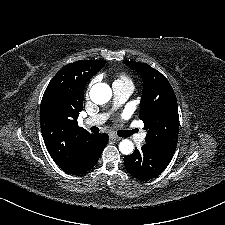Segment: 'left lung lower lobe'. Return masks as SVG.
Instances as JSON below:
<instances>
[{"instance_id": "1", "label": "left lung lower lobe", "mask_w": 225, "mask_h": 225, "mask_svg": "<svg viewBox=\"0 0 225 225\" xmlns=\"http://www.w3.org/2000/svg\"><path fill=\"white\" fill-rule=\"evenodd\" d=\"M173 152L144 145L124 157L126 170L136 179L147 181L160 175L171 162Z\"/></svg>"}]
</instances>
